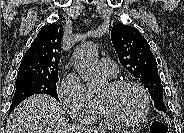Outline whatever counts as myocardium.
Wrapping results in <instances>:
<instances>
[{
    "label": "myocardium",
    "mask_w": 184,
    "mask_h": 133,
    "mask_svg": "<svg viewBox=\"0 0 184 133\" xmlns=\"http://www.w3.org/2000/svg\"><path fill=\"white\" fill-rule=\"evenodd\" d=\"M108 85L112 90H119L124 87L136 88L143 97L144 108H143L141 115L138 116L137 118L123 119V118L113 115L110 112V110L107 108L105 103L100 98H98L99 109L106 121L112 124H115V125H120V126H135V125L142 123L147 118L150 112V109H151V101H150L148 92L146 91V89L144 88L142 84L134 80L123 79V80L111 81L108 83Z\"/></svg>",
    "instance_id": "1"
}]
</instances>
